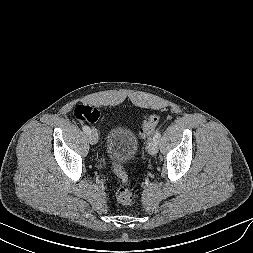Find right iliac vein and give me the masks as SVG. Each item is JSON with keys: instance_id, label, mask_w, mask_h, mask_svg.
Segmentation results:
<instances>
[{"instance_id": "right-iliac-vein-1", "label": "right iliac vein", "mask_w": 253, "mask_h": 253, "mask_svg": "<svg viewBox=\"0 0 253 253\" xmlns=\"http://www.w3.org/2000/svg\"><path fill=\"white\" fill-rule=\"evenodd\" d=\"M88 140L92 145L98 142V134L95 130H92L90 133H88Z\"/></svg>"}]
</instances>
